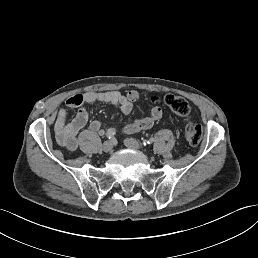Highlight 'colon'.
Here are the masks:
<instances>
[{"label":"colon","instance_id":"colon-1","mask_svg":"<svg viewBox=\"0 0 258 258\" xmlns=\"http://www.w3.org/2000/svg\"><path fill=\"white\" fill-rule=\"evenodd\" d=\"M164 102L173 112L180 116L185 117L188 116V114L190 113L189 104L184 98L180 96L168 94L165 96ZM184 135L186 141L190 145L197 146L202 140L203 128L201 125L194 124L188 121L185 126Z\"/></svg>","mask_w":258,"mask_h":258}]
</instances>
